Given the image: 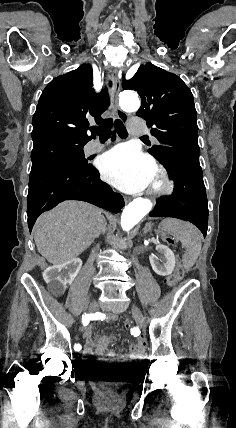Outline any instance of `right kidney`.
<instances>
[{
  "mask_svg": "<svg viewBox=\"0 0 236 428\" xmlns=\"http://www.w3.org/2000/svg\"><path fill=\"white\" fill-rule=\"evenodd\" d=\"M81 268L82 260L80 258H73V260H69L65 264H58V266H50L43 272L46 291L54 292L55 300H64L67 286L72 284Z\"/></svg>",
  "mask_w": 236,
  "mask_h": 428,
  "instance_id": "ca27d5eb",
  "label": "right kidney"
}]
</instances>
